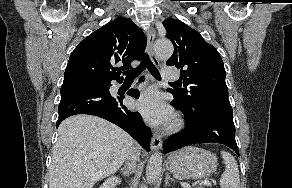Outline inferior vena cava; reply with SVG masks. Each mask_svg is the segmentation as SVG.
Masks as SVG:
<instances>
[{"label": "inferior vena cava", "mask_w": 292, "mask_h": 188, "mask_svg": "<svg viewBox=\"0 0 292 188\" xmlns=\"http://www.w3.org/2000/svg\"><path fill=\"white\" fill-rule=\"evenodd\" d=\"M137 156H138L137 148L133 147L126 159L124 174L127 173L129 175L130 173L133 172V169L135 168V165H136Z\"/></svg>", "instance_id": "1"}]
</instances>
